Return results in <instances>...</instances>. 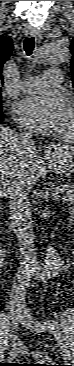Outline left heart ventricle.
<instances>
[{
  "label": "left heart ventricle",
  "instance_id": "left-heart-ventricle-1",
  "mask_svg": "<svg viewBox=\"0 0 74 366\" xmlns=\"http://www.w3.org/2000/svg\"><path fill=\"white\" fill-rule=\"evenodd\" d=\"M68 106H69V104H68ZM70 126H71V112H70V108H69V110L67 111V114L63 120V128L65 130H67L70 128Z\"/></svg>",
  "mask_w": 74,
  "mask_h": 366
}]
</instances>
